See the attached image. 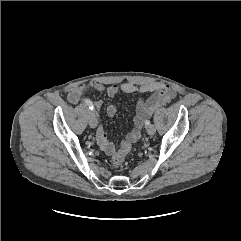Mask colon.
Masks as SVG:
<instances>
[{
  "label": "colon",
  "instance_id": "1",
  "mask_svg": "<svg viewBox=\"0 0 241 241\" xmlns=\"http://www.w3.org/2000/svg\"><path fill=\"white\" fill-rule=\"evenodd\" d=\"M130 149H131V144L124 140L122 142L121 149L115 154H113L111 158L112 166L115 168L121 167Z\"/></svg>",
  "mask_w": 241,
  "mask_h": 241
}]
</instances>
